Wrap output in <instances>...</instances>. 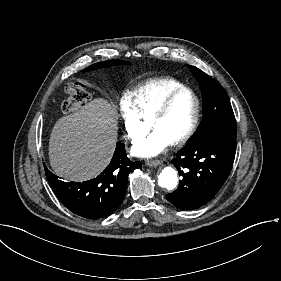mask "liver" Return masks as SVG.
<instances>
[{"instance_id": "obj_1", "label": "liver", "mask_w": 281, "mask_h": 281, "mask_svg": "<svg viewBox=\"0 0 281 281\" xmlns=\"http://www.w3.org/2000/svg\"><path fill=\"white\" fill-rule=\"evenodd\" d=\"M116 110L105 98H95L59 118L49 136L48 156L54 173L70 181L99 175L110 163L118 140Z\"/></svg>"}]
</instances>
